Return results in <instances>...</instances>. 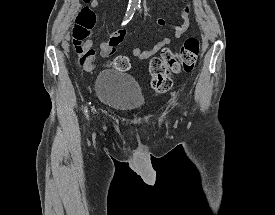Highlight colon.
<instances>
[{"mask_svg": "<svg viewBox=\"0 0 275 215\" xmlns=\"http://www.w3.org/2000/svg\"><path fill=\"white\" fill-rule=\"evenodd\" d=\"M84 2L89 3L90 0H84ZM94 26L95 15L86 4L77 16L72 40L73 48L83 65H86L94 56V50L85 47V42ZM199 49L198 39L188 37L177 50L164 49L159 57L153 58L149 65L153 91L159 94L165 93L172 86L173 74L191 72L198 59ZM109 64L120 72H126L131 67L130 60L126 56H117Z\"/></svg>", "mask_w": 275, "mask_h": 215, "instance_id": "5ec220e1", "label": "colon"}]
</instances>
